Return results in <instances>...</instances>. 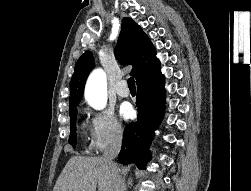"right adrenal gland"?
I'll list each match as a JSON object with an SVG mask.
<instances>
[{"instance_id":"obj_1","label":"right adrenal gland","mask_w":251,"mask_h":191,"mask_svg":"<svg viewBox=\"0 0 251 191\" xmlns=\"http://www.w3.org/2000/svg\"><path fill=\"white\" fill-rule=\"evenodd\" d=\"M127 185H133V181H132L131 177H128V183H127Z\"/></svg>"}]
</instances>
